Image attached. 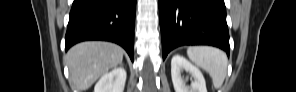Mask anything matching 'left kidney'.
<instances>
[{"label":"left kidney","mask_w":296,"mask_h":92,"mask_svg":"<svg viewBox=\"0 0 296 92\" xmlns=\"http://www.w3.org/2000/svg\"><path fill=\"white\" fill-rule=\"evenodd\" d=\"M185 70L193 77L191 86L181 76ZM171 76L175 92H207L205 79L201 71L181 55H174L171 60Z\"/></svg>","instance_id":"obj_1"}]
</instances>
